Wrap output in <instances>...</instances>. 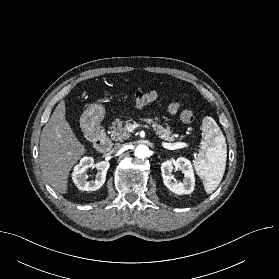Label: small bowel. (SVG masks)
Wrapping results in <instances>:
<instances>
[{"instance_id":"small-bowel-1","label":"small bowel","mask_w":279,"mask_h":279,"mask_svg":"<svg viewBox=\"0 0 279 279\" xmlns=\"http://www.w3.org/2000/svg\"><path fill=\"white\" fill-rule=\"evenodd\" d=\"M179 107H180L179 103L172 102L168 106V111L170 114H175L178 111Z\"/></svg>"}]
</instances>
